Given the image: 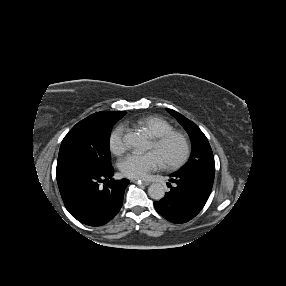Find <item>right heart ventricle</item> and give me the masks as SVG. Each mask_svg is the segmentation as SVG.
<instances>
[{"label":"right heart ventricle","instance_id":"right-heart-ventricle-1","mask_svg":"<svg viewBox=\"0 0 286 286\" xmlns=\"http://www.w3.org/2000/svg\"><path fill=\"white\" fill-rule=\"evenodd\" d=\"M136 125L146 128L154 137L169 131L176 130L172 123L157 115L143 118L139 120Z\"/></svg>","mask_w":286,"mask_h":286}]
</instances>
